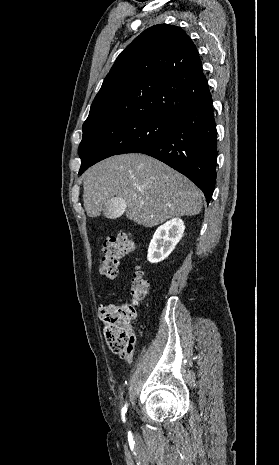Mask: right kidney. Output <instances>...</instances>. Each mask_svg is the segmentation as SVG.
<instances>
[{"mask_svg": "<svg viewBox=\"0 0 279 465\" xmlns=\"http://www.w3.org/2000/svg\"><path fill=\"white\" fill-rule=\"evenodd\" d=\"M184 229V222L180 218L171 219L159 226L149 244L148 261L158 263L168 257L182 238Z\"/></svg>", "mask_w": 279, "mask_h": 465, "instance_id": "ca27d5eb", "label": "right kidney"}]
</instances>
